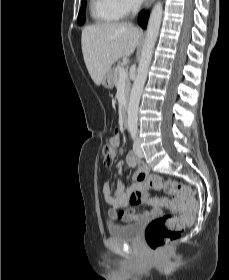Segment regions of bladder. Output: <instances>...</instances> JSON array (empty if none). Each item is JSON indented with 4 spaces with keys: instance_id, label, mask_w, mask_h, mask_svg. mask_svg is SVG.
<instances>
[{
    "instance_id": "31cf9c89",
    "label": "bladder",
    "mask_w": 229,
    "mask_h": 280,
    "mask_svg": "<svg viewBox=\"0 0 229 280\" xmlns=\"http://www.w3.org/2000/svg\"><path fill=\"white\" fill-rule=\"evenodd\" d=\"M143 221L108 226L109 234L121 241H134L141 233Z\"/></svg>"
}]
</instances>
